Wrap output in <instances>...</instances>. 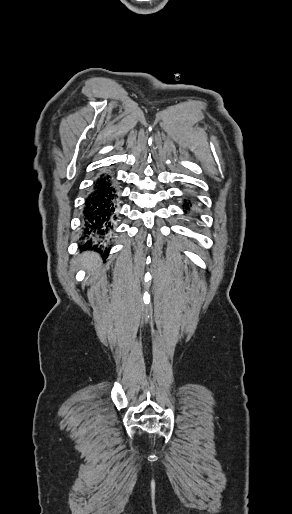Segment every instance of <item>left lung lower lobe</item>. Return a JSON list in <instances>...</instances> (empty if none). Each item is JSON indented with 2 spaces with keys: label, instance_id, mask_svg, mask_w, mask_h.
Masks as SVG:
<instances>
[{
  "label": "left lung lower lobe",
  "instance_id": "obj_1",
  "mask_svg": "<svg viewBox=\"0 0 292 514\" xmlns=\"http://www.w3.org/2000/svg\"><path fill=\"white\" fill-rule=\"evenodd\" d=\"M183 209H184V212L186 214H190V212L192 211L191 210V207H192V198L191 197H186L184 200H183V205H182Z\"/></svg>",
  "mask_w": 292,
  "mask_h": 514
}]
</instances>
